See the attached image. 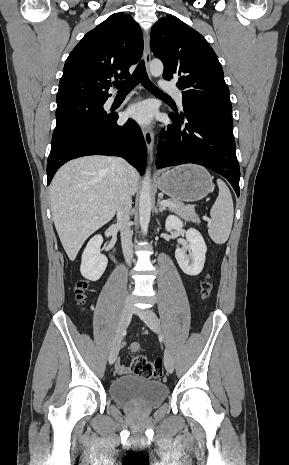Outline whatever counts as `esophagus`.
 Returning a JSON list of instances; mask_svg holds the SVG:
<instances>
[{"mask_svg":"<svg viewBox=\"0 0 289 465\" xmlns=\"http://www.w3.org/2000/svg\"><path fill=\"white\" fill-rule=\"evenodd\" d=\"M144 61H145L146 69L148 70L150 66V61H151L150 40H149L148 32H145L144 34ZM143 136H144L147 150L151 152L153 149V145H154L153 131L150 128L145 127L143 128Z\"/></svg>","mask_w":289,"mask_h":465,"instance_id":"obj_1","label":"esophagus"}]
</instances>
